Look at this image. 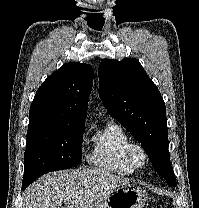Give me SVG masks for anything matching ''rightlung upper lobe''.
<instances>
[{"instance_id":"1","label":"right lung upper lobe","mask_w":199,"mask_h":208,"mask_svg":"<svg viewBox=\"0 0 199 208\" xmlns=\"http://www.w3.org/2000/svg\"><path fill=\"white\" fill-rule=\"evenodd\" d=\"M92 84L93 69L90 65H63L37 90L30 107L29 119L64 124L84 122Z\"/></svg>"}]
</instances>
